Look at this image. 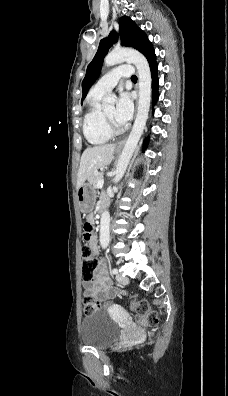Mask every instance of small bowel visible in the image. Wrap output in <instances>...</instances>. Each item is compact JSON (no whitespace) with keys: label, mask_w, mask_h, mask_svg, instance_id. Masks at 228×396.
I'll return each instance as SVG.
<instances>
[{"label":"small bowel","mask_w":228,"mask_h":396,"mask_svg":"<svg viewBox=\"0 0 228 396\" xmlns=\"http://www.w3.org/2000/svg\"><path fill=\"white\" fill-rule=\"evenodd\" d=\"M102 202L106 203V198L102 197L100 203ZM89 220L91 221L92 218L90 217ZM89 247L93 254L97 255L99 253L97 237L95 235H92ZM83 287L86 294L92 295L103 302L109 300L116 294V291L111 287L110 279L102 264L97 269L94 279L91 282L85 281Z\"/></svg>","instance_id":"c3829d8e"}]
</instances>
